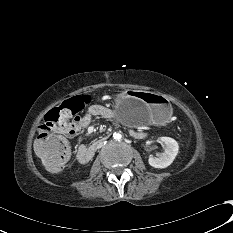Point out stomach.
Segmentation results:
<instances>
[{
  "mask_svg": "<svg viewBox=\"0 0 233 233\" xmlns=\"http://www.w3.org/2000/svg\"><path fill=\"white\" fill-rule=\"evenodd\" d=\"M172 113V106L168 100L153 92L132 90L119 95L115 100V117L127 125L165 123Z\"/></svg>",
  "mask_w": 233,
  "mask_h": 233,
  "instance_id": "stomach-1",
  "label": "stomach"
}]
</instances>
